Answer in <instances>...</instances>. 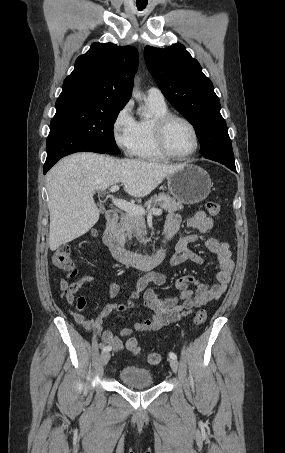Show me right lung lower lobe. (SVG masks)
<instances>
[{
  "instance_id": "right-lung-lower-lobe-1",
  "label": "right lung lower lobe",
  "mask_w": 285,
  "mask_h": 453,
  "mask_svg": "<svg viewBox=\"0 0 285 453\" xmlns=\"http://www.w3.org/2000/svg\"><path fill=\"white\" fill-rule=\"evenodd\" d=\"M81 151L102 153L89 141L79 137L76 133L61 126L50 125L47 138V159L44 164V174L62 157Z\"/></svg>"
}]
</instances>
